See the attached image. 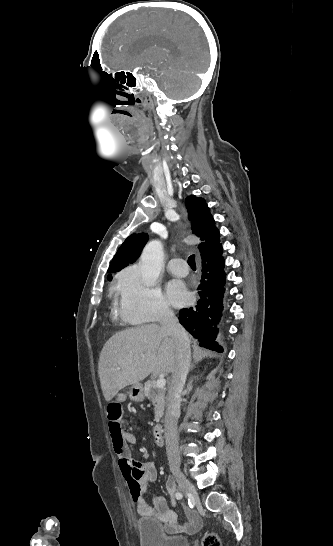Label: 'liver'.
<instances>
[{
  "mask_svg": "<svg viewBox=\"0 0 333 546\" xmlns=\"http://www.w3.org/2000/svg\"><path fill=\"white\" fill-rule=\"evenodd\" d=\"M176 363L175 342L157 324L116 333L105 343L98 363L105 400L150 374L172 373Z\"/></svg>",
  "mask_w": 333,
  "mask_h": 546,
  "instance_id": "liver-1",
  "label": "liver"
}]
</instances>
